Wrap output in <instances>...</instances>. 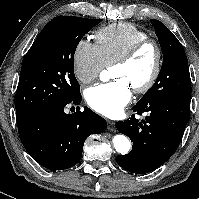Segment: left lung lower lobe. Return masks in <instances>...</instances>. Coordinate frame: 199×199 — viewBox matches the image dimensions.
<instances>
[{"label": "left lung lower lobe", "instance_id": "obj_1", "mask_svg": "<svg viewBox=\"0 0 199 199\" xmlns=\"http://www.w3.org/2000/svg\"><path fill=\"white\" fill-rule=\"evenodd\" d=\"M190 99L173 97L133 111L149 116L141 122L133 114L117 122V130L133 143L129 154L117 156V163L127 171L144 174L164 164L178 148L190 116Z\"/></svg>", "mask_w": 199, "mask_h": 199}]
</instances>
